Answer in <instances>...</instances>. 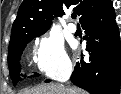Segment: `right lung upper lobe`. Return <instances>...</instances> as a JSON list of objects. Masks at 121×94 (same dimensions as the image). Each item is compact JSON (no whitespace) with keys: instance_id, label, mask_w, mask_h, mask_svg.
Listing matches in <instances>:
<instances>
[{"instance_id":"right-lung-upper-lobe-1","label":"right lung upper lobe","mask_w":121,"mask_h":94,"mask_svg":"<svg viewBox=\"0 0 121 94\" xmlns=\"http://www.w3.org/2000/svg\"><path fill=\"white\" fill-rule=\"evenodd\" d=\"M110 0H24L13 23L10 43L29 30H48L54 16L64 15V9L74 6L80 22L103 8Z\"/></svg>"}]
</instances>
